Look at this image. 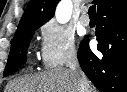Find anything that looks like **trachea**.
<instances>
[{
	"mask_svg": "<svg viewBox=\"0 0 127 92\" xmlns=\"http://www.w3.org/2000/svg\"><path fill=\"white\" fill-rule=\"evenodd\" d=\"M88 14H89L90 17H95L96 16V6L95 5H92L89 8Z\"/></svg>",
	"mask_w": 127,
	"mask_h": 92,
	"instance_id": "obj_1",
	"label": "trachea"
}]
</instances>
